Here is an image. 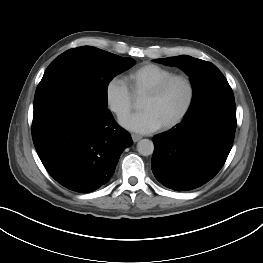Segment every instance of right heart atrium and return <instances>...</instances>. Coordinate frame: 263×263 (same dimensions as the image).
<instances>
[{
  "label": "right heart atrium",
  "instance_id": "obj_1",
  "mask_svg": "<svg viewBox=\"0 0 263 263\" xmlns=\"http://www.w3.org/2000/svg\"><path fill=\"white\" fill-rule=\"evenodd\" d=\"M104 99L108 110L118 119L124 118L133 105L132 93L126 83L117 76L110 78L106 82Z\"/></svg>",
  "mask_w": 263,
  "mask_h": 263
}]
</instances>
